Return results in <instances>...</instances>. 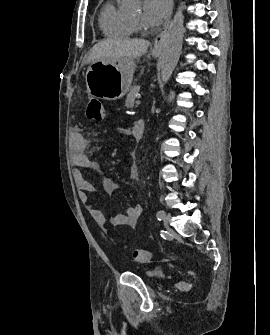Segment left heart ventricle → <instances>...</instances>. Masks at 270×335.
Returning <instances> with one entry per match:
<instances>
[{"label": "left heart ventricle", "instance_id": "b2bd125f", "mask_svg": "<svg viewBox=\"0 0 270 335\" xmlns=\"http://www.w3.org/2000/svg\"><path fill=\"white\" fill-rule=\"evenodd\" d=\"M140 18H141V15H137V16L131 18L130 20H131V22H133L135 25H137V24L139 23V21H140Z\"/></svg>", "mask_w": 270, "mask_h": 335}]
</instances>
